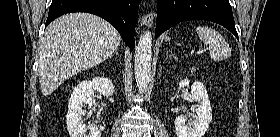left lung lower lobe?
Listing matches in <instances>:
<instances>
[{
	"label": "left lung lower lobe",
	"instance_id": "obj_1",
	"mask_svg": "<svg viewBox=\"0 0 280 137\" xmlns=\"http://www.w3.org/2000/svg\"><path fill=\"white\" fill-rule=\"evenodd\" d=\"M155 36L187 20L221 24L239 40L229 0H158Z\"/></svg>",
	"mask_w": 280,
	"mask_h": 137
}]
</instances>
